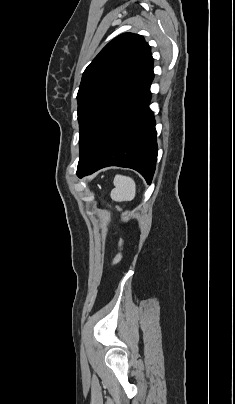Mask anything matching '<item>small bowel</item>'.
Wrapping results in <instances>:
<instances>
[{"instance_id": "1", "label": "small bowel", "mask_w": 235, "mask_h": 404, "mask_svg": "<svg viewBox=\"0 0 235 404\" xmlns=\"http://www.w3.org/2000/svg\"><path fill=\"white\" fill-rule=\"evenodd\" d=\"M120 247H121V243H120ZM120 258H121V252H119V253L115 256L113 262H114V263L117 262Z\"/></svg>"}]
</instances>
